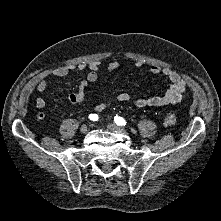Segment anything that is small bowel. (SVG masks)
Segmentation results:
<instances>
[{"instance_id": "obj_1", "label": "small bowel", "mask_w": 221, "mask_h": 221, "mask_svg": "<svg viewBox=\"0 0 221 221\" xmlns=\"http://www.w3.org/2000/svg\"><path fill=\"white\" fill-rule=\"evenodd\" d=\"M137 67L142 65L141 62H136ZM119 67L117 61L109 62L105 65V69L108 71L115 70ZM88 69V73L85 78L78 85V94L76 92H70L67 94V98L72 103L82 104L85 100L86 88L97 81L99 69L101 68V62L98 60L83 61L76 64H68L65 66L56 67L52 70L51 74L55 77H66L69 74L84 69ZM149 72L152 75H162L170 83L169 88L161 96H152L148 98H136L133 99L127 92H121L117 95V100L120 102H133L138 108L146 107H166L179 103L187 92L186 80L177 72H174L167 68H162L159 65L153 64L149 67ZM36 89L43 93L48 90V83L44 79H40L37 82ZM35 105L38 109H44L46 101L44 98L39 97L35 101ZM110 106L109 102L100 103L95 106V110L100 112L107 109ZM44 113H39L38 118L40 120L45 119Z\"/></svg>"}]
</instances>
